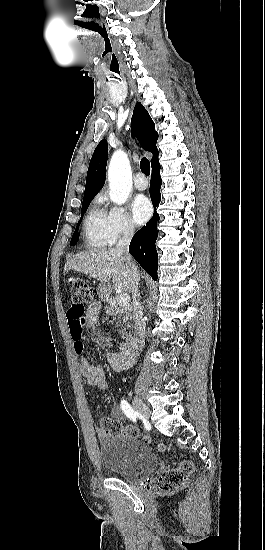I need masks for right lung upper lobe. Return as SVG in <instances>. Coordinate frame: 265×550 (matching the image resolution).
<instances>
[{
    "label": "right lung upper lobe",
    "mask_w": 265,
    "mask_h": 550,
    "mask_svg": "<svg viewBox=\"0 0 265 550\" xmlns=\"http://www.w3.org/2000/svg\"><path fill=\"white\" fill-rule=\"evenodd\" d=\"M131 128L132 133L140 141L142 148L152 152L151 165L153 166L158 162V149L156 147L158 134L154 129V122L141 103H137L134 107ZM107 156V141L102 140L96 147L89 164L83 199L94 198L103 187L106 177Z\"/></svg>",
    "instance_id": "cb5924a9"
}]
</instances>
